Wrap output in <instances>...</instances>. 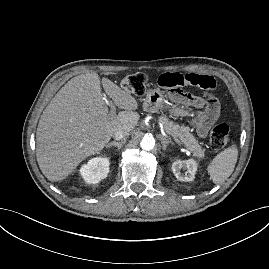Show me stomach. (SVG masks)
<instances>
[{"mask_svg":"<svg viewBox=\"0 0 269 269\" xmlns=\"http://www.w3.org/2000/svg\"><path fill=\"white\" fill-rule=\"evenodd\" d=\"M163 108L168 109L170 114L174 116L184 117L189 114V111L184 107L169 104L160 89L148 90L143 103L144 111L154 113Z\"/></svg>","mask_w":269,"mask_h":269,"instance_id":"1","label":"stomach"}]
</instances>
